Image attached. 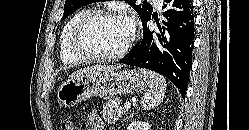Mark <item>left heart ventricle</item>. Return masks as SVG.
<instances>
[{
	"label": "left heart ventricle",
	"instance_id": "b2bd125f",
	"mask_svg": "<svg viewBox=\"0 0 249 130\" xmlns=\"http://www.w3.org/2000/svg\"><path fill=\"white\" fill-rule=\"evenodd\" d=\"M132 34L126 17H98L90 22L83 33V46L94 53L111 54L119 51Z\"/></svg>",
	"mask_w": 249,
	"mask_h": 130
}]
</instances>
